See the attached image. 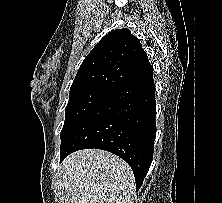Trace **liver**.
<instances>
[{
	"instance_id": "6515ba94",
	"label": "liver",
	"mask_w": 222,
	"mask_h": 203,
	"mask_svg": "<svg viewBox=\"0 0 222 203\" xmlns=\"http://www.w3.org/2000/svg\"><path fill=\"white\" fill-rule=\"evenodd\" d=\"M61 171L69 203H133L134 174L114 154L80 150L65 158Z\"/></svg>"
}]
</instances>
